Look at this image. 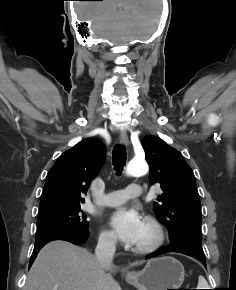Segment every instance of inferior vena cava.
I'll list each match as a JSON object with an SVG mask.
<instances>
[{
    "mask_svg": "<svg viewBox=\"0 0 236 290\" xmlns=\"http://www.w3.org/2000/svg\"><path fill=\"white\" fill-rule=\"evenodd\" d=\"M116 251V237H100L95 249V256L102 266L110 265Z\"/></svg>",
    "mask_w": 236,
    "mask_h": 290,
    "instance_id": "1",
    "label": "inferior vena cava"
}]
</instances>
